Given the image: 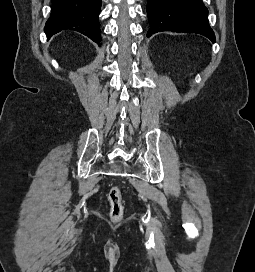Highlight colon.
<instances>
[{"label":"colon","instance_id":"5ec220e1","mask_svg":"<svg viewBox=\"0 0 255 272\" xmlns=\"http://www.w3.org/2000/svg\"><path fill=\"white\" fill-rule=\"evenodd\" d=\"M107 198L109 203V217L111 221L115 223L120 222L124 216V205L120 187H111Z\"/></svg>","mask_w":255,"mask_h":272}]
</instances>
